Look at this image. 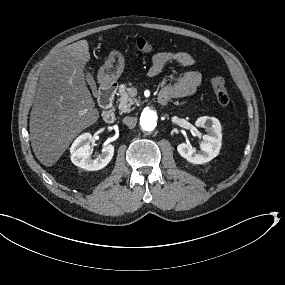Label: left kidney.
I'll list each match as a JSON object with an SVG mask.
<instances>
[{
	"label": "left kidney",
	"instance_id": "left-kidney-1",
	"mask_svg": "<svg viewBox=\"0 0 285 285\" xmlns=\"http://www.w3.org/2000/svg\"><path fill=\"white\" fill-rule=\"evenodd\" d=\"M196 128L205 127L208 134L199 135L204 144L201 152H194L191 145L181 142L177 145L179 155L192 164H205L219 155L221 149L222 133L219 121L216 118L200 117L195 121Z\"/></svg>",
	"mask_w": 285,
	"mask_h": 285
}]
</instances>
